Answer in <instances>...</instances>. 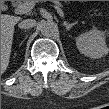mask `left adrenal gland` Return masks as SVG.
<instances>
[{"label": "left adrenal gland", "instance_id": "a2214340", "mask_svg": "<svg viewBox=\"0 0 109 109\" xmlns=\"http://www.w3.org/2000/svg\"><path fill=\"white\" fill-rule=\"evenodd\" d=\"M76 24L77 22H74V23H67L66 21L63 22V25L66 27L67 31H69L71 27H73Z\"/></svg>", "mask_w": 109, "mask_h": 109}]
</instances>
